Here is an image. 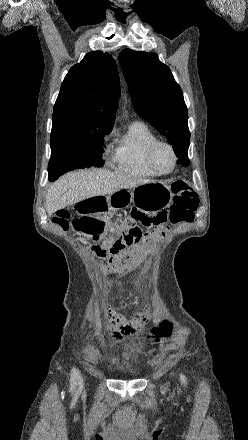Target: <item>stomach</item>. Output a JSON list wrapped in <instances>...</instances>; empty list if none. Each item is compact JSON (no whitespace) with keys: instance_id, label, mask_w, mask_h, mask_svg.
<instances>
[{"instance_id":"stomach-1","label":"stomach","mask_w":248,"mask_h":440,"mask_svg":"<svg viewBox=\"0 0 248 440\" xmlns=\"http://www.w3.org/2000/svg\"><path fill=\"white\" fill-rule=\"evenodd\" d=\"M89 198L87 204H75L74 212L78 218H72L73 232H80L82 237H88V246H100L105 239L103 232H110L107 221L108 210L127 207L130 202L137 201L150 211H159L168 207L172 199L170 186L165 183L152 181L131 189H121L107 196ZM87 200V199H85ZM83 200V201H85Z\"/></svg>"}]
</instances>
